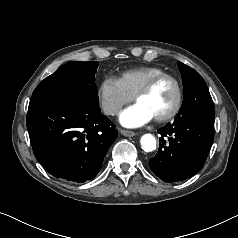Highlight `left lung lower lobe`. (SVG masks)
Returning a JSON list of instances; mask_svg holds the SVG:
<instances>
[{"label":"left lung lower lobe","instance_id":"left-lung-lower-lobe-1","mask_svg":"<svg viewBox=\"0 0 238 238\" xmlns=\"http://www.w3.org/2000/svg\"><path fill=\"white\" fill-rule=\"evenodd\" d=\"M158 133L160 147L150 168L165 182L182 181L202 169L214 140V117L175 118Z\"/></svg>","mask_w":238,"mask_h":238}]
</instances>
